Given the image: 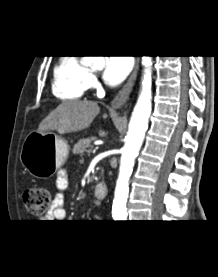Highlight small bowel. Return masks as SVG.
Returning <instances> with one entry per match:
<instances>
[{
  "label": "small bowel",
  "mask_w": 218,
  "mask_h": 277,
  "mask_svg": "<svg viewBox=\"0 0 218 277\" xmlns=\"http://www.w3.org/2000/svg\"><path fill=\"white\" fill-rule=\"evenodd\" d=\"M55 185L58 193L55 195L52 207L50 211L46 214L45 220H55L57 222H62L67 216L65 208V199L63 191L68 186V174L65 169H61L56 176Z\"/></svg>",
  "instance_id": "obj_1"
}]
</instances>
